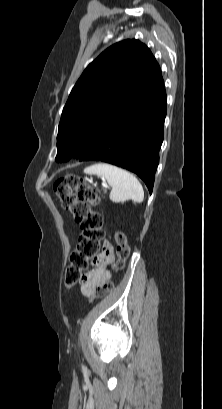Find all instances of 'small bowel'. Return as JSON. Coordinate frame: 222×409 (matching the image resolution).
I'll return each instance as SVG.
<instances>
[{
    "label": "small bowel",
    "mask_w": 222,
    "mask_h": 409,
    "mask_svg": "<svg viewBox=\"0 0 222 409\" xmlns=\"http://www.w3.org/2000/svg\"><path fill=\"white\" fill-rule=\"evenodd\" d=\"M115 259L113 245L109 241H104L100 256H92L93 268L86 272L81 280V293L86 297H91L100 286L107 283L112 274L108 265Z\"/></svg>",
    "instance_id": "small-bowel-1"
}]
</instances>
